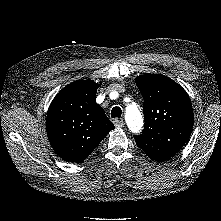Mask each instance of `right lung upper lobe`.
<instances>
[{
    "mask_svg": "<svg viewBox=\"0 0 221 221\" xmlns=\"http://www.w3.org/2000/svg\"><path fill=\"white\" fill-rule=\"evenodd\" d=\"M100 84L91 80L73 82L51 102L46 131L56 154L70 162L84 161L115 128L96 103Z\"/></svg>",
    "mask_w": 221,
    "mask_h": 221,
    "instance_id": "right-lung-upper-lobe-1",
    "label": "right lung upper lobe"
}]
</instances>
